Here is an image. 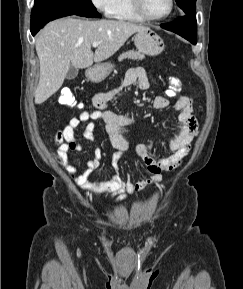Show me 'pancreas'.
Masks as SVG:
<instances>
[{
	"instance_id": "pancreas-1",
	"label": "pancreas",
	"mask_w": 243,
	"mask_h": 289,
	"mask_svg": "<svg viewBox=\"0 0 243 289\" xmlns=\"http://www.w3.org/2000/svg\"><path fill=\"white\" fill-rule=\"evenodd\" d=\"M144 58H145V56L142 53H140L139 51L130 50V51H126V52L122 53L118 57V61L121 62L124 59L142 60Z\"/></svg>"
}]
</instances>
